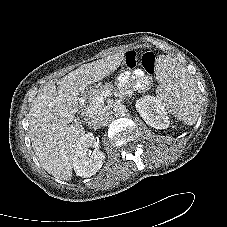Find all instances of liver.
<instances>
[{
	"mask_svg": "<svg viewBox=\"0 0 227 227\" xmlns=\"http://www.w3.org/2000/svg\"><path fill=\"white\" fill-rule=\"evenodd\" d=\"M124 52L81 65L57 81L46 84L29 111V134L41 166L57 179L72 177L76 147L85 135L84 127L71 124L79 109V95L90 84L114 72Z\"/></svg>",
	"mask_w": 227,
	"mask_h": 227,
	"instance_id": "1",
	"label": "liver"
}]
</instances>
